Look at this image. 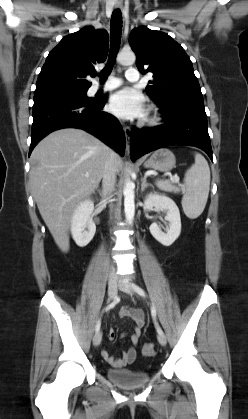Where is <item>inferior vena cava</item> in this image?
<instances>
[{"label": "inferior vena cava", "mask_w": 248, "mask_h": 419, "mask_svg": "<svg viewBox=\"0 0 248 419\" xmlns=\"http://www.w3.org/2000/svg\"><path fill=\"white\" fill-rule=\"evenodd\" d=\"M116 156V153L113 150H110L109 153V157L108 160L105 164L104 167V172H103V180H102V186H103V191L102 194L104 196V198H107L114 190V186L116 183V172H117V168L114 162V158ZM111 276H114V268H111Z\"/></svg>", "instance_id": "inferior-vena-cava-1"}]
</instances>
